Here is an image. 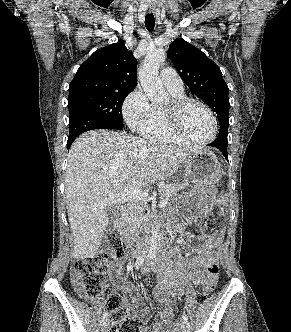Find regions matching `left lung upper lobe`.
Listing matches in <instances>:
<instances>
[{
  "label": "left lung upper lobe",
  "mask_w": 291,
  "mask_h": 332,
  "mask_svg": "<svg viewBox=\"0 0 291 332\" xmlns=\"http://www.w3.org/2000/svg\"><path fill=\"white\" fill-rule=\"evenodd\" d=\"M168 57L190 90L216 113L220 130L227 134L229 89L220 68L201 50L182 38H177L171 43Z\"/></svg>",
  "instance_id": "left-lung-upper-lobe-1"
}]
</instances>
